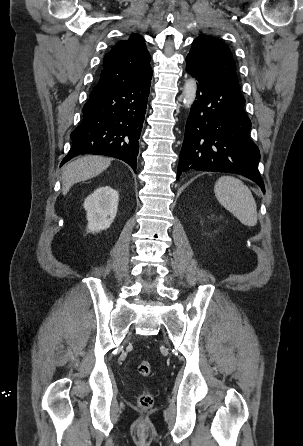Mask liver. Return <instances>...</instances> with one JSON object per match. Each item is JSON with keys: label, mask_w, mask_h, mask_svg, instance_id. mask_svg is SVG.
<instances>
[{"label": "liver", "mask_w": 303, "mask_h": 446, "mask_svg": "<svg viewBox=\"0 0 303 446\" xmlns=\"http://www.w3.org/2000/svg\"><path fill=\"white\" fill-rule=\"evenodd\" d=\"M111 159L88 155L68 163L62 173V193L66 195L70 188L78 182L95 177L106 170Z\"/></svg>", "instance_id": "obj_1"}]
</instances>
